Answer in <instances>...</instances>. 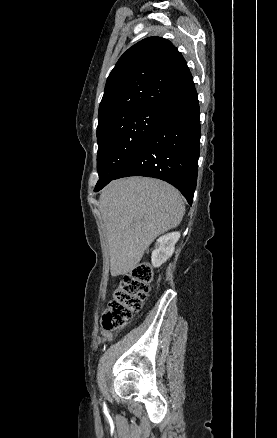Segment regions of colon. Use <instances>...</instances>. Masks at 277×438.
<instances>
[{
	"label": "colon",
	"instance_id": "colon-1",
	"mask_svg": "<svg viewBox=\"0 0 277 438\" xmlns=\"http://www.w3.org/2000/svg\"><path fill=\"white\" fill-rule=\"evenodd\" d=\"M147 279H151V271L143 265L135 268L115 285L108 309L103 314V321L99 323L100 331L124 326L141 310L143 301L150 294Z\"/></svg>",
	"mask_w": 277,
	"mask_h": 438
}]
</instances>
